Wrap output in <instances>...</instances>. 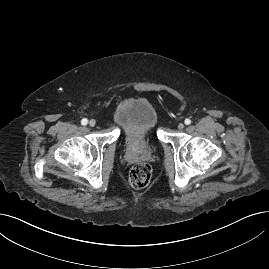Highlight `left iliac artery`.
Here are the masks:
<instances>
[{
	"label": "left iliac artery",
	"instance_id": "obj_1",
	"mask_svg": "<svg viewBox=\"0 0 269 269\" xmlns=\"http://www.w3.org/2000/svg\"><path fill=\"white\" fill-rule=\"evenodd\" d=\"M184 122H185V124H186V125L191 124V120H190V119H185V121H184Z\"/></svg>",
	"mask_w": 269,
	"mask_h": 269
}]
</instances>
